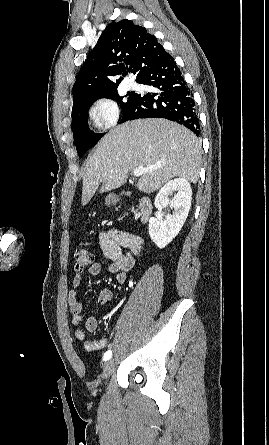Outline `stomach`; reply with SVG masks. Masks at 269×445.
<instances>
[{"label":"stomach","mask_w":269,"mask_h":445,"mask_svg":"<svg viewBox=\"0 0 269 445\" xmlns=\"http://www.w3.org/2000/svg\"><path fill=\"white\" fill-rule=\"evenodd\" d=\"M117 201H118V198L114 194H110L106 198V203H108V204H115V203H117Z\"/></svg>","instance_id":"1"}]
</instances>
